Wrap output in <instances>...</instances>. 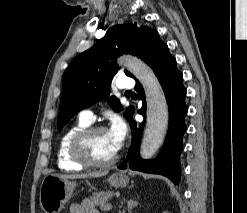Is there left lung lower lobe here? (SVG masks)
Segmentation results:
<instances>
[{"label":"left lung lower lobe","mask_w":247,"mask_h":213,"mask_svg":"<svg viewBox=\"0 0 247 213\" xmlns=\"http://www.w3.org/2000/svg\"><path fill=\"white\" fill-rule=\"evenodd\" d=\"M153 71L162 85L169 107V126L164 145L155 160L141 159L139 145L145 121L137 128L136 122L131 118L132 142L128 150L129 155L118 168H127V161H129V167L132 170L161 174L177 184L180 179L179 157L183 148L182 137L186 131L184 122L187 114V107L185 105L186 89L182 83L183 75L177 70L176 59L172 56L157 63ZM135 89L139 93V99L143 103L138 113L146 119V100L143 88L138 83Z\"/></svg>","instance_id":"0a47b994"}]
</instances>
